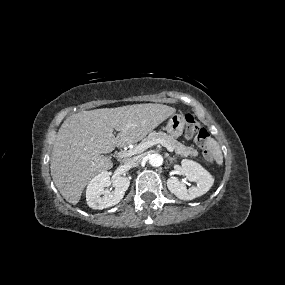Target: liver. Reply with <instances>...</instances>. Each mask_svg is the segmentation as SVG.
Returning a JSON list of instances; mask_svg holds the SVG:
<instances>
[{
    "label": "liver",
    "instance_id": "1",
    "mask_svg": "<svg viewBox=\"0 0 285 285\" xmlns=\"http://www.w3.org/2000/svg\"><path fill=\"white\" fill-rule=\"evenodd\" d=\"M175 112L167 105L146 103L81 111L67 117L57 133L50 162L52 179L64 199L76 205L91 178L113 167L101 154L142 140Z\"/></svg>",
    "mask_w": 285,
    "mask_h": 285
}]
</instances>
